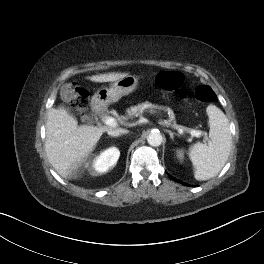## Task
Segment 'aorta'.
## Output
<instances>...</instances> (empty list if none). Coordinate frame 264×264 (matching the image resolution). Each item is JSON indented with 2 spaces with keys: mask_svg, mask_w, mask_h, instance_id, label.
I'll list each match as a JSON object with an SVG mask.
<instances>
[{
  "mask_svg": "<svg viewBox=\"0 0 264 264\" xmlns=\"http://www.w3.org/2000/svg\"><path fill=\"white\" fill-rule=\"evenodd\" d=\"M162 141V135L158 131H152L147 137L148 144L153 147L160 146L162 144Z\"/></svg>",
  "mask_w": 264,
  "mask_h": 264,
  "instance_id": "1",
  "label": "aorta"
}]
</instances>
